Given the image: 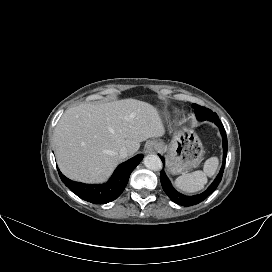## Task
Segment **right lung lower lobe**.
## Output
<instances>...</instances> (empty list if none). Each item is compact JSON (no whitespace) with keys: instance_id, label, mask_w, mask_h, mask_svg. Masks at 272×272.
<instances>
[{"instance_id":"98d812e1","label":"right lung lower lobe","mask_w":272,"mask_h":272,"mask_svg":"<svg viewBox=\"0 0 272 272\" xmlns=\"http://www.w3.org/2000/svg\"><path fill=\"white\" fill-rule=\"evenodd\" d=\"M143 159V155L139 154L120 164L109 182L103 185H89L71 181L66 178L58 169L59 176L63 183L81 199L94 203L106 204L118 198L125 189L131 172Z\"/></svg>"}]
</instances>
